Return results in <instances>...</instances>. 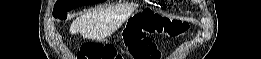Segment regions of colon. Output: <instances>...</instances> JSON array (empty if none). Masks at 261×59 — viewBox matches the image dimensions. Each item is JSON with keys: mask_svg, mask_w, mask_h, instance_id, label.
Returning a JSON list of instances; mask_svg holds the SVG:
<instances>
[{"mask_svg": "<svg viewBox=\"0 0 261 59\" xmlns=\"http://www.w3.org/2000/svg\"><path fill=\"white\" fill-rule=\"evenodd\" d=\"M187 30V26L180 22L169 21L155 13H144L135 22L127 35L130 52L135 59H157L160 56L151 36L167 34L169 37H178ZM117 59L119 55L111 47L88 43L82 47L77 59Z\"/></svg>", "mask_w": 261, "mask_h": 59, "instance_id": "1", "label": "colon"}]
</instances>
